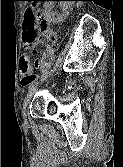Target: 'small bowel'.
<instances>
[{
    "instance_id": "small-bowel-1",
    "label": "small bowel",
    "mask_w": 123,
    "mask_h": 167,
    "mask_svg": "<svg viewBox=\"0 0 123 167\" xmlns=\"http://www.w3.org/2000/svg\"><path fill=\"white\" fill-rule=\"evenodd\" d=\"M46 40H55L54 36L52 35L49 29H46L43 35V38L40 40V43H44ZM36 66H28L27 69L24 71L21 67V85L23 87L30 86L34 83L36 79V74L34 72Z\"/></svg>"
}]
</instances>
